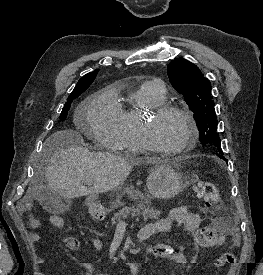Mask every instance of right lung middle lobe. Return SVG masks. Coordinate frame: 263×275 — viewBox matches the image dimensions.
<instances>
[{"instance_id": "right-lung-middle-lobe-1", "label": "right lung middle lobe", "mask_w": 263, "mask_h": 275, "mask_svg": "<svg viewBox=\"0 0 263 275\" xmlns=\"http://www.w3.org/2000/svg\"><path fill=\"white\" fill-rule=\"evenodd\" d=\"M86 89L87 88H84V89L80 90L79 92H77V93H75L73 95H70L67 98V102L65 103V106L63 107V110H62L61 115H60V120H65V118L67 117V114H68V110L70 109L72 100L75 99V98H77Z\"/></svg>"}]
</instances>
